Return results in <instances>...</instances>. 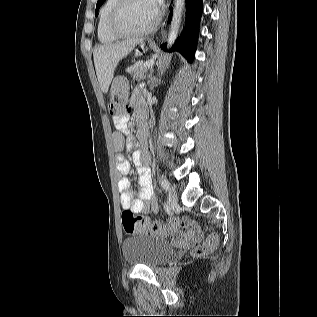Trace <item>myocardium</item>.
<instances>
[{
	"mask_svg": "<svg viewBox=\"0 0 317 317\" xmlns=\"http://www.w3.org/2000/svg\"><path fill=\"white\" fill-rule=\"evenodd\" d=\"M129 2V0H117L116 4L111 10L109 20H108V27L110 32L117 36V37H140L145 36L149 33H151L159 24L160 18H161V12L157 8L156 16L153 20V22L146 28L139 30V31H128L119 26V18L121 15V12L125 5Z\"/></svg>",
	"mask_w": 317,
	"mask_h": 317,
	"instance_id": "myocardium-1",
	"label": "myocardium"
}]
</instances>
